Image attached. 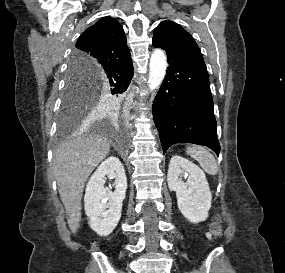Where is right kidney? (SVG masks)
<instances>
[{
  "label": "right kidney",
  "instance_id": "obj_1",
  "mask_svg": "<svg viewBox=\"0 0 285 273\" xmlns=\"http://www.w3.org/2000/svg\"><path fill=\"white\" fill-rule=\"evenodd\" d=\"M115 179L114 192L105 187L106 179ZM127 178L124 168L115 156L103 161L91 176L85 191V213L89 226L100 236H107L117 226L122 202L125 199Z\"/></svg>",
  "mask_w": 285,
  "mask_h": 273
}]
</instances>
